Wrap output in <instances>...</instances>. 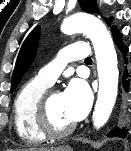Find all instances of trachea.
<instances>
[{
    "mask_svg": "<svg viewBox=\"0 0 131 151\" xmlns=\"http://www.w3.org/2000/svg\"><path fill=\"white\" fill-rule=\"evenodd\" d=\"M91 61H92V60H91L90 57L85 59V62H91Z\"/></svg>",
    "mask_w": 131,
    "mask_h": 151,
    "instance_id": "obj_1",
    "label": "trachea"
}]
</instances>
